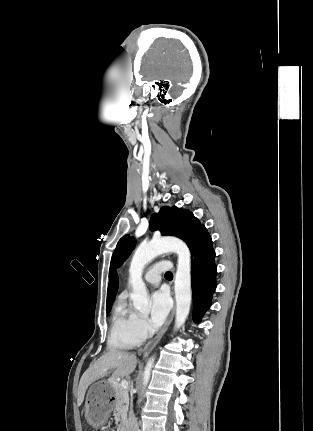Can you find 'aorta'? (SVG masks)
<instances>
[{"mask_svg": "<svg viewBox=\"0 0 313 431\" xmlns=\"http://www.w3.org/2000/svg\"><path fill=\"white\" fill-rule=\"evenodd\" d=\"M166 252H175L178 255L175 275V329H178L187 319L192 299L191 254L189 248L182 240L174 237L153 239L147 244H141L136 249L129 268V282L133 288L131 299L136 310L142 313L149 311V298L145 283L142 280V272L146 264L156 256ZM153 364L154 357L150 358L146 364L143 374L144 387L149 382Z\"/></svg>", "mask_w": 313, "mask_h": 431, "instance_id": "obj_1", "label": "aorta"}]
</instances>
